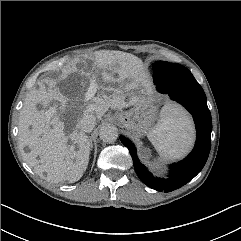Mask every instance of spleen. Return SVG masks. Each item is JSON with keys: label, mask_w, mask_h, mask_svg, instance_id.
Returning a JSON list of instances; mask_svg holds the SVG:
<instances>
[{"label": "spleen", "mask_w": 241, "mask_h": 241, "mask_svg": "<svg viewBox=\"0 0 241 241\" xmlns=\"http://www.w3.org/2000/svg\"><path fill=\"white\" fill-rule=\"evenodd\" d=\"M159 122L153 126L148 138L155 149L167 159H180L192 147L194 126L190 116L174 103L166 104Z\"/></svg>", "instance_id": "3e777b00"}]
</instances>
